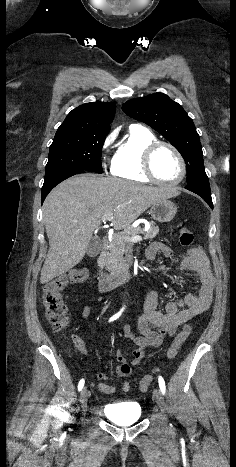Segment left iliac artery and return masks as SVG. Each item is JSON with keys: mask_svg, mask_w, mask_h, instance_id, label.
Returning a JSON list of instances; mask_svg holds the SVG:
<instances>
[{"mask_svg": "<svg viewBox=\"0 0 236 467\" xmlns=\"http://www.w3.org/2000/svg\"><path fill=\"white\" fill-rule=\"evenodd\" d=\"M158 382H159V387H160V390H161L162 394H165L166 386H165L164 379L161 376H159Z\"/></svg>", "mask_w": 236, "mask_h": 467, "instance_id": "1", "label": "left iliac artery"}]
</instances>
